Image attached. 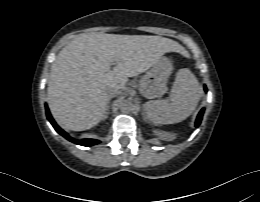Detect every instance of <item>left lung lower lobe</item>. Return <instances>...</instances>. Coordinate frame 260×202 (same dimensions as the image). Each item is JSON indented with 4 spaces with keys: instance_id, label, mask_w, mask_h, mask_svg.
Segmentation results:
<instances>
[{
    "instance_id": "obj_1",
    "label": "left lung lower lobe",
    "mask_w": 260,
    "mask_h": 202,
    "mask_svg": "<svg viewBox=\"0 0 260 202\" xmlns=\"http://www.w3.org/2000/svg\"><path fill=\"white\" fill-rule=\"evenodd\" d=\"M204 90L207 92V88L206 86H204ZM203 113H204V108L199 112L198 116H197V119H196V127H198L201 123V120H202V116H203Z\"/></svg>"
}]
</instances>
